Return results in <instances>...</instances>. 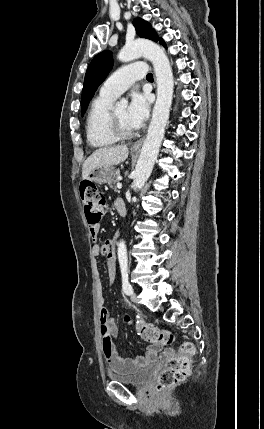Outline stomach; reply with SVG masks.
<instances>
[{
  "mask_svg": "<svg viewBox=\"0 0 264 429\" xmlns=\"http://www.w3.org/2000/svg\"><path fill=\"white\" fill-rule=\"evenodd\" d=\"M115 171L114 166H100L93 170L87 178L91 182L104 184L114 176Z\"/></svg>",
  "mask_w": 264,
  "mask_h": 429,
  "instance_id": "obj_1",
  "label": "stomach"
}]
</instances>
